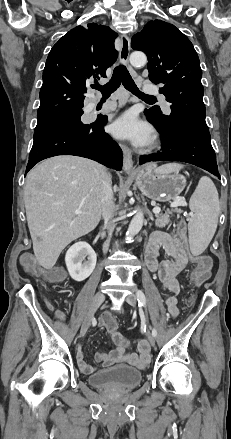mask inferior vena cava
I'll use <instances>...</instances> for the list:
<instances>
[{
    "label": "inferior vena cava",
    "instance_id": "obj_1",
    "mask_svg": "<svg viewBox=\"0 0 231 439\" xmlns=\"http://www.w3.org/2000/svg\"><path fill=\"white\" fill-rule=\"evenodd\" d=\"M111 177L107 174L102 179V198H101V212L102 216L105 220L109 239L104 243L103 245V252L106 253L109 248L110 238L112 236V233L115 229V218H114V198H113V191L111 187Z\"/></svg>",
    "mask_w": 231,
    "mask_h": 439
}]
</instances>
